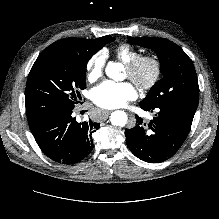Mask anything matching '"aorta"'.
Here are the masks:
<instances>
[{"instance_id": "762f6f07", "label": "aorta", "mask_w": 219, "mask_h": 219, "mask_svg": "<svg viewBox=\"0 0 219 219\" xmlns=\"http://www.w3.org/2000/svg\"><path fill=\"white\" fill-rule=\"evenodd\" d=\"M120 63L109 62L106 66L105 73L111 79H117L121 70ZM110 122L114 126L124 127L127 123V114L124 111H114L110 116Z\"/></svg>"}]
</instances>
